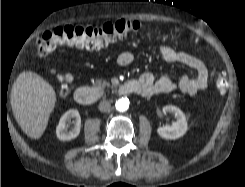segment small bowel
<instances>
[{
  "label": "small bowel",
  "mask_w": 245,
  "mask_h": 187,
  "mask_svg": "<svg viewBox=\"0 0 245 187\" xmlns=\"http://www.w3.org/2000/svg\"><path fill=\"white\" fill-rule=\"evenodd\" d=\"M159 54L168 63H181L196 71V77L187 74L181 75L178 81L172 80L168 76L155 78L151 73H144L138 81L143 85V96L150 97L170 93L176 89L191 97H197L208 88L209 73L204 63L182 51H178L169 45H160ZM133 54L129 51L121 52L117 57V62L121 66H129L133 62Z\"/></svg>",
  "instance_id": "obj_1"
}]
</instances>
